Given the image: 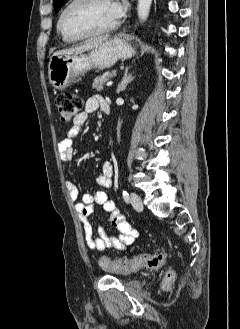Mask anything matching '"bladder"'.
Wrapping results in <instances>:
<instances>
[{"label": "bladder", "instance_id": "obj_1", "mask_svg": "<svg viewBox=\"0 0 240 329\" xmlns=\"http://www.w3.org/2000/svg\"><path fill=\"white\" fill-rule=\"evenodd\" d=\"M125 282H126L129 286H132V287L137 288V289L141 287L140 283H139L138 281H136V280L127 279V280H125Z\"/></svg>", "mask_w": 240, "mask_h": 329}]
</instances>
